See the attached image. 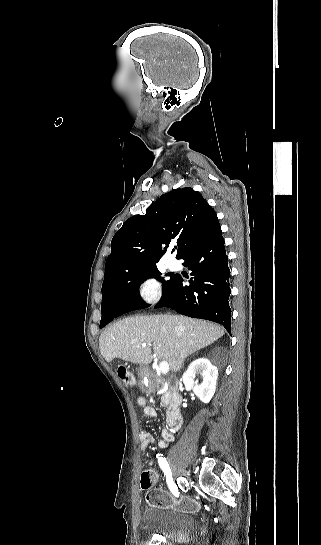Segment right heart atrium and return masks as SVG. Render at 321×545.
<instances>
[{"label":"right heart atrium","mask_w":321,"mask_h":545,"mask_svg":"<svg viewBox=\"0 0 321 545\" xmlns=\"http://www.w3.org/2000/svg\"><path fill=\"white\" fill-rule=\"evenodd\" d=\"M133 296L143 307H154L162 300L160 283L150 275L140 277L133 286Z\"/></svg>","instance_id":"right-heart-atrium-1"}]
</instances>
